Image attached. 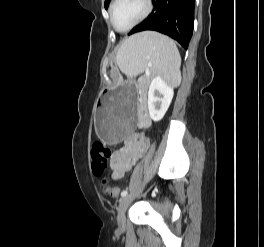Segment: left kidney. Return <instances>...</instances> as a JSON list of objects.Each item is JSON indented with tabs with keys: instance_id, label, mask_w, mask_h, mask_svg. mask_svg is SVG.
I'll list each match as a JSON object with an SVG mask.
<instances>
[{
	"instance_id": "5707ae66",
	"label": "left kidney",
	"mask_w": 264,
	"mask_h": 247,
	"mask_svg": "<svg viewBox=\"0 0 264 247\" xmlns=\"http://www.w3.org/2000/svg\"><path fill=\"white\" fill-rule=\"evenodd\" d=\"M173 95V87L162 77L156 76L151 80L148 90V110L153 121H160L164 117Z\"/></svg>"
}]
</instances>
